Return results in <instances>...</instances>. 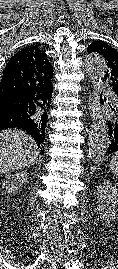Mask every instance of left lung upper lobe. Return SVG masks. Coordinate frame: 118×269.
<instances>
[{"label":"left lung upper lobe","instance_id":"obj_1","mask_svg":"<svg viewBox=\"0 0 118 269\" xmlns=\"http://www.w3.org/2000/svg\"><path fill=\"white\" fill-rule=\"evenodd\" d=\"M88 53H97L106 63L105 78L109 80L118 99V52L103 41H93L87 48Z\"/></svg>","mask_w":118,"mask_h":269}]
</instances>
